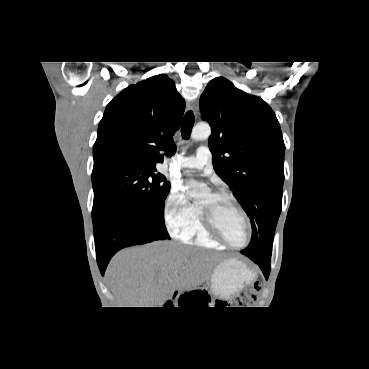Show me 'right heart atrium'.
Here are the masks:
<instances>
[{
	"label": "right heart atrium",
	"instance_id": "obj_1",
	"mask_svg": "<svg viewBox=\"0 0 369 369\" xmlns=\"http://www.w3.org/2000/svg\"><path fill=\"white\" fill-rule=\"evenodd\" d=\"M164 220L171 234L180 236L188 232L197 213L181 188L175 186L168 192L164 202Z\"/></svg>",
	"mask_w": 369,
	"mask_h": 369
}]
</instances>
